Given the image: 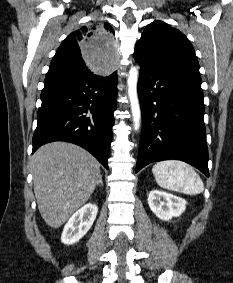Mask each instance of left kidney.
<instances>
[{"label": "left kidney", "mask_w": 233, "mask_h": 283, "mask_svg": "<svg viewBox=\"0 0 233 283\" xmlns=\"http://www.w3.org/2000/svg\"><path fill=\"white\" fill-rule=\"evenodd\" d=\"M151 211L161 220L169 221L172 217L180 216L186 209V201L178 196L152 190L148 196Z\"/></svg>", "instance_id": "obj_1"}]
</instances>
